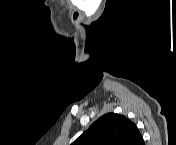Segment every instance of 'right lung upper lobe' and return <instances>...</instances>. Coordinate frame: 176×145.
Returning a JSON list of instances; mask_svg holds the SVG:
<instances>
[{
    "label": "right lung upper lobe",
    "mask_w": 176,
    "mask_h": 145,
    "mask_svg": "<svg viewBox=\"0 0 176 145\" xmlns=\"http://www.w3.org/2000/svg\"><path fill=\"white\" fill-rule=\"evenodd\" d=\"M72 145H144L137 128L123 115L108 113L95 121Z\"/></svg>",
    "instance_id": "cb5924a9"
}]
</instances>
